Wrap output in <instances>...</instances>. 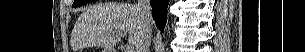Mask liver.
Segmentation results:
<instances>
[{
    "mask_svg": "<svg viewBox=\"0 0 305 52\" xmlns=\"http://www.w3.org/2000/svg\"><path fill=\"white\" fill-rule=\"evenodd\" d=\"M76 27L87 42L108 50H112L121 41V35L127 32L129 43L137 45L145 30L136 5L111 3L86 9L79 16Z\"/></svg>",
    "mask_w": 305,
    "mask_h": 52,
    "instance_id": "obj_1",
    "label": "liver"
}]
</instances>
